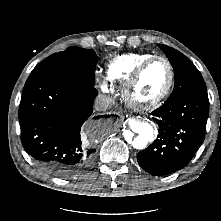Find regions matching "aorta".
Wrapping results in <instances>:
<instances>
[{
	"label": "aorta",
	"instance_id": "762f6f07",
	"mask_svg": "<svg viewBox=\"0 0 221 221\" xmlns=\"http://www.w3.org/2000/svg\"><path fill=\"white\" fill-rule=\"evenodd\" d=\"M130 129L125 130V141L136 149H144L148 141L153 139L154 130L152 125L143 119H133Z\"/></svg>",
	"mask_w": 221,
	"mask_h": 221
}]
</instances>
